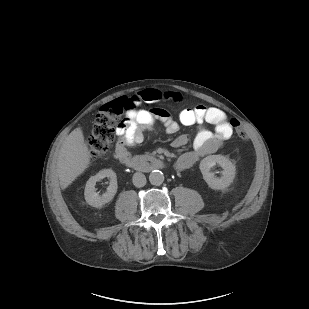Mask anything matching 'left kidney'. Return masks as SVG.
Returning <instances> with one entry per match:
<instances>
[{"label": "left kidney", "mask_w": 309, "mask_h": 309, "mask_svg": "<svg viewBox=\"0 0 309 309\" xmlns=\"http://www.w3.org/2000/svg\"><path fill=\"white\" fill-rule=\"evenodd\" d=\"M216 164L223 168L222 176L216 178L210 169ZM203 179L214 190H224L231 185L235 178V165L225 156L210 155L205 157L199 166Z\"/></svg>", "instance_id": "obj_1"}]
</instances>
